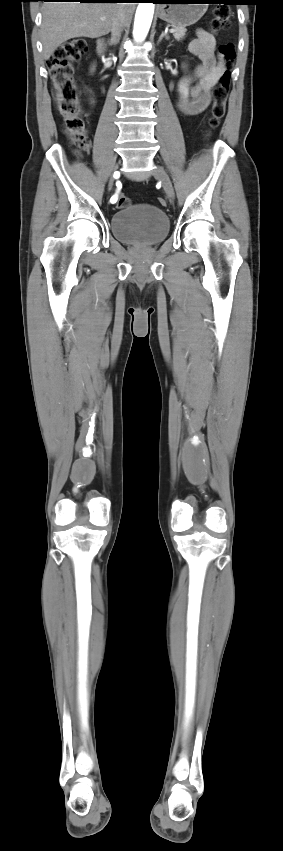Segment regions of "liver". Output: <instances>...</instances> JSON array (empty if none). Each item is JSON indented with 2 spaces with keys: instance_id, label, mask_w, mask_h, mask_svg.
<instances>
[{
  "instance_id": "6515ba94",
  "label": "liver",
  "mask_w": 283,
  "mask_h": 851,
  "mask_svg": "<svg viewBox=\"0 0 283 851\" xmlns=\"http://www.w3.org/2000/svg\"><path fill=\"white\" fill-rule=\"evenodd\" d=\"M134 9L133 3L46 2L41 24L44 59L48 60L57 47L72 38L107 35L121 11L125 25H129Z\"/></svg>"
}]
</instances>
